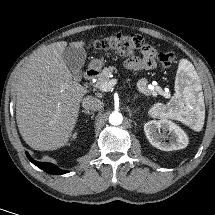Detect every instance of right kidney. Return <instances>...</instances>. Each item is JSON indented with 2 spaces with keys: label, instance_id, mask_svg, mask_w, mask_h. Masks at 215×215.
I'll return each mask as SVG.
<instances>
[{
  "label": "right kidney",
  "instance_id": "1",
  "mask_svg": "<svg viewBox=\"0 0 215 215\" xmlns=\"http://www.w3.org/2000/svg\"><path fill=\"white\" fill-rule=\"evenodd\" d=\"M76 134H77V133H75V134L73 135V139H75V138H76Z\"/></svg>",
  "mask_w": 215,
  "mask_h": 215
}]
</instances>
